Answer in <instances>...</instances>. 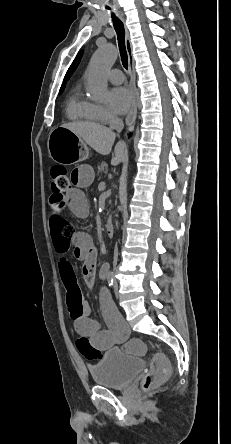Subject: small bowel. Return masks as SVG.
Segmentation results:
<instances>
[{
    "label": "small bowel",
    "mask_w": 231,
    "mask_h": 444,
    "mask_svg": "<svg viewBox=\"0 0 231 444\" xmlns=\"http://www.w3.org/2000/svg\"><path fill=\"white\" fill-rule=\"evenodd\" d=\"M94 177V170L88 164H80L71 171L68 194L61 198L54 196L50 198L49 230L54 248L59 255V273L66 289L68 311L74 328L79 335L87 337L95 348L107 350L128 338L129 327L116 311L108 293L103 290L100 300L108 328H100L99 323L91 317L89 304L82 298L73 266L66 257L69 250L72 249L73 257L83 263V275L89 288L92 289L97 258L95 246L87 233L74 230L73 226L64 218L63 213L66 208H69L79 217L88 215V201L81 189L90 186ZM106 270L103 268L101 273Z\"/></svg>",
    "instance_id": "c3829d8e"
}]
</instances>
